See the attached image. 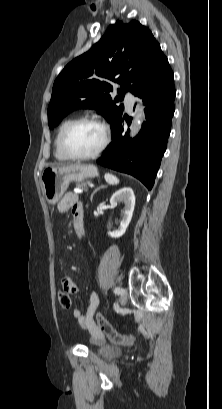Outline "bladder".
Segmentation results:
<instances>
[{
	"instance_id": "1",
	"label": "bladder",
	"mask_w": 222,
	"mask_h": 409,
	"mask_svg": "<svg viewBox=\"0 0 222 409\" xmlns=\"http://www.w3.org/2000/svg\"><path fill=\"white\" fill-rule=\"evenodd\" d=\"M97 351L99 355L109 358L119 356L123 350L113 345L104 344L100 345Z\"/></svg>"
}]
</instances>
